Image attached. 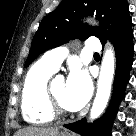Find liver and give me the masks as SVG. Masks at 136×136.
<instances>
[{"instance_id":"1","label":"liver","mask_w":136,"mask_h":136,"mask_svg":"<svg viewBox=\"0 0 136 136\" xmlns=\"http://www.w3.org/2000/svg\"><path fill=\"white\" fill-rule=\"evenodd\" d=\"M58 128L27 127L15 133V136H56Z\"/></svg>"}]
</instances>
